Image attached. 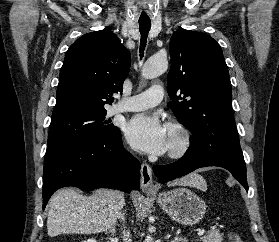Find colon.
<instances>
[{"label": "colon", "mask_w": 279, "mask_h": 242, "mask_svg": "<svg viewBox=\"0 0 279 242\" xmlns=\"http://www.w3.org/2000/svg\"><path fill=\"white\" fill-rule=\"evenodd\" d=\"M229 240L230 242H244L242 238L234 232L229 233Z\"/></svg>", "instance_id": "colon-1"}]
</instances>
